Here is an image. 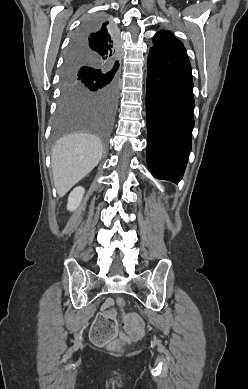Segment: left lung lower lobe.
Masks as SVG:
<instances>
[{
	"label": "left lung lower lobe",
	"mask_w": 248,
	"mask_h": 389,
	"mask_svg": "<svg viewBox=\"0 0 248 389\" xmlns=\"http://www.w3.org/2000/svg\"><path fill=\"white\" fill-rule=\"evenodd\" d=\"M147 67L148 167L156 178L178 183L194 127L191 65L184 47H152Z\"/></svg>",
	"instance_id": "0a47b994"
}]
</instances>
